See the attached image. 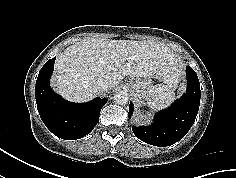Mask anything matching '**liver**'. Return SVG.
<instances>
[{
  "label": "liver",
  "instance_id": "1",
  "mask_svg": "<svg viewBox=\"0 0 236 178\" xmlns=\"http://www.w3.org/2000/svg\"><path fill=\"white\" fill-rule=\"evenodd\" d=\"M54 69L55 91L70 101L84 102L98 94L95 84L99 80L107 82V90L125 76L174 83L181 64L163 43L88 38L60 53Z\"/></svg>",
  "mask_w": 236,
  "mask_h": 178
}]
</instances>
